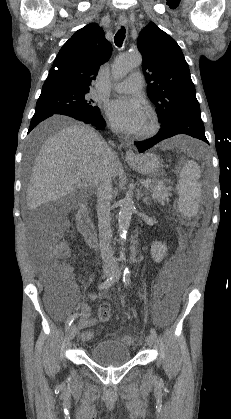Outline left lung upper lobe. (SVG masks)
Returning a JSON list of instances; mask_svg holds the SVG:
<instances>
[{
  "label": "left lung upper lobe",
  "instance_id": "obj_1",
  "mask_svg": "<svg viewBox=\"0 0 231 419\" xmlns=\"http://www.w3.org/2000/svg\"><path fill=\"white\" fill-rule=\"evenodd\" d=\"M137 44L143 56L147 93L157 108L161 127L186 114L200 115L189 67L177 42L151 22L140 32Z\"/></svg>",
  "mask_w": 231,
  "mask_h": 419
}]
</instances>
